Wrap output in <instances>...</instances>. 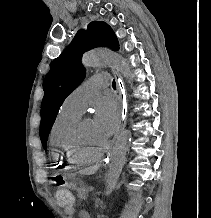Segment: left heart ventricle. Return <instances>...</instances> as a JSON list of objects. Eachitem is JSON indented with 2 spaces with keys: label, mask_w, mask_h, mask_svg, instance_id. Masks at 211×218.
I'll return each mask as SVG.
<instances>
[{
  "label": "left heart ventricle",
  "mask_w": 211,
  "mask_h": 218,
  "mask_svg": "<svg viewBox=\"0 0 211 218\" xmlns=\"http://www.w3.org/2000/svg\"><path fill=\"white\" fill-rule=\"evenodd\" d=\"M82 141L84 146L97 150L103 148L109 140L98 132L94 120L88 118L82 126Z\"/></svg>",
  "instance_id": "obj_1"
}]
</instances>
